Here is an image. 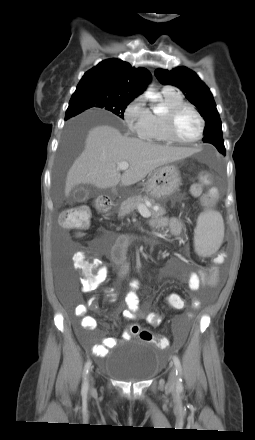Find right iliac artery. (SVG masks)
<instances>
[{
	"label": "right iliac artery",
	"mask_w": 255,
	"mask_h": 440,
	"mask_svg": "<svg viewBox=\"0 0 255 440\" xmlns=\"http://www.w3.org/2000/svg\"><path fill=\"white\" fill-rule=\"evenodd\" d=\"M90 366H91V361L88 360V361L86 362L85 366H84V371H83V384H82V390H81V393H82V395H84V396H85V395L87 394V392H88L89 384H88V378H87V376H88V373H89Z\"/></svg>",
	"instance_id": "obj_1"
}]
</instances>
